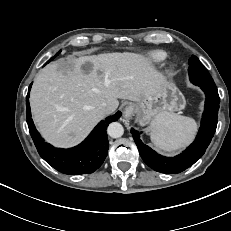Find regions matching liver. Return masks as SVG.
I'll list each match as a JSON object with an SVG mask.
<instances>
[{"label": "liver", "mask_w": 231, "mask_h": 231, "mask_svg": "<svg viewBox=\"0 0 231 231\" xmlns=\"http://www.w3.org/2000/svg\"><path fill=\"white\" fill-rule=\"evenodd\" d=\"M151 61L136 53H107L69 58L39 71L32 86L30 105L43 137L56 147L83 140L118 99L135 102L151 97L165 84ZM109 114V113H108Z\"/></svg>", "instance_id": "1"}]
</instances>
